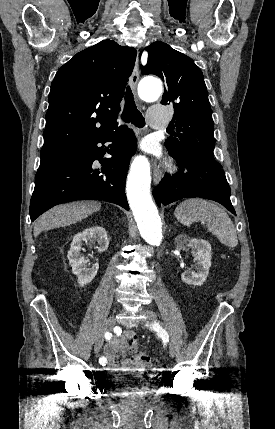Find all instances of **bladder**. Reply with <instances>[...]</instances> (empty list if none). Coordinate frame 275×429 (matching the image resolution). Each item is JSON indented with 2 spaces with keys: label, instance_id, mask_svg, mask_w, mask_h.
<instances>
[{
  "label": "bladder",
  "instance_id": "obj_1",
  "mask_svg": "<svg viewBox=\"0 0 275 429\" xmlns=\"http://www.w3.org/2000/svg\"><path fill=\"white\" fill-rule=\"evenodd\" d=\"M152 377H107V398H118L119 403H144L154 398L158 385Z\"/></svg>",
  "mask_w": 275,
  "mask_h": 429
}]
</instances>
